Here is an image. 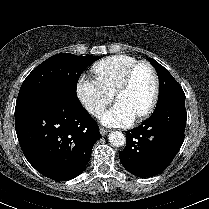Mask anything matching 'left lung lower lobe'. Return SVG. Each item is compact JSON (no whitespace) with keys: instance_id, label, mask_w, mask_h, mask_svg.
Instances as JSON below:
<instances>
[{"instance_id":"1","label":"left lung lower lobe","mask_w":209,"mask_h":209,"mask_svg":"<svg viewBox=\"0 0 209 209\" xmlns=\"http://www.w3.org/2000/svg\"><path fill=\"white\" fill-rule=\"evenodd\" d=\"M186 119L185 98L157 104L148 120L125 132L126 146L119 154L122 165L142 178L162 173L183 144Z\"/></svg>"}]
</instances>
